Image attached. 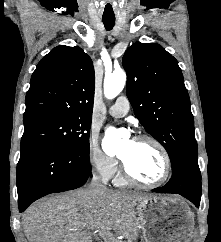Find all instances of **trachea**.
<instances>
[{
    "instance_id": "obj_1",
    "label": "trachea",
    "mask_w": 221,
    "mask_h": 242,
    "mask_svg": "<svg viewBox=\"0 0 221 242\" xmlns=\"http://www.w3.org/2000/svg\"><path fill=\"white\" fill-rule=\"evenodd\" d=\"M102 21H103V24H104L106 30H108V31H110L113 28V26L115 25V19H113V18L112 19L103 18Z\"/></svg>"
}]
</instances>
